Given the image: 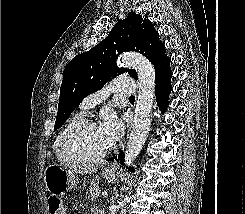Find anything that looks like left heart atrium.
<instances>
[{"label":"left heart atrium","mask_w":245,"mask_h":214,"mask_svg":"<svg viewBox=\"0 0 245 214\" xmlns=\"http://www.w3.org/2000/svg\"><path fill=\"white\" fill-rule=\"evenodd\" d=\"M99 129L109 148L117 143L123 133L122 123L114 115L105 117L99 125Z\"/></svg>","instance_id":"1"}]
</instances>
